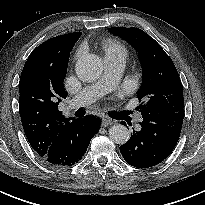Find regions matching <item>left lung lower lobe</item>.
<instances>
[{"instance_id":"left-lung-lower-lobe-1","label":"left lung lower lobe","mask_w":205,"mask_h":205,"mask_svg":"<svg viewBox=\"0 0 205 205\" xmlns=\"http://www.w3.org/2000/svg\"><path fill=\"white\" fill-rule=\"evenodd\" d=\"M184 110L164 111L143 118L141 130L120 146L125 161L137 168H149L166 159L176 146L183 123Z\"/></svg>"}]
</instances>
